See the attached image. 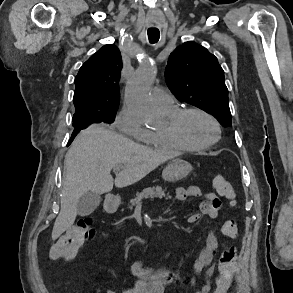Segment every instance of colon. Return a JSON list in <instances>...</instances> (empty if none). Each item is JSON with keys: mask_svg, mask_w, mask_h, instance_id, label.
Instances as JSON below:
<instances>
[{"mask_svg": "<svg viewBox=\"0 0 293 293\" xmlns=\"http://www.w3.org/2000/svg\"><path fill=\"white\" fill-rule=\"evenodd\" d=\"M212 184L216 191L231 204L236 203L237 193L229 180L222 175H214L212 177ZM222 232L228 238H236L238 234L236 221H226L223 225ZM94 235L95 227L92 218H80L52 246L50 252L51 258L71 260L75 256L79 246ZM236 260L237 252L234 247H229L223 251L218 262V275L216 277V287L213 293L228 292L236 270Z\"/></svg>", "mask_w": 293, "mask_h": 293, "instance_id": "obj_1", "label": "colon"}]
</instances>
